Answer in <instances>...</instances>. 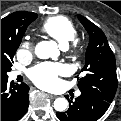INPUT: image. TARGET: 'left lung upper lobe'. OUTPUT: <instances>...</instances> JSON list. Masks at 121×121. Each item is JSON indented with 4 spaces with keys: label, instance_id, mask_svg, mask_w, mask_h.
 Segmentation results:
<instances>
[{
    "label": "left lung upper lobe",
    "instance_id": "left-lung-upper-lobe-1",
    "mask_svg": "<svg viewBox=\"0 0 121 121\" xmlns=\"http://www.w3.org/2000/svg\"><path fill=\"white\" fill-rule=\"evenodd\" d=\"M90 36L85 55V66L78 87L81 93L112 102L117 89L116 61L103 31L87 18L77 15Z\"/></svg>",
    "mask_w": 121,
    "mask_h": 121
}]
</instances>
